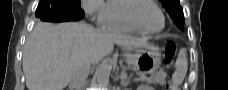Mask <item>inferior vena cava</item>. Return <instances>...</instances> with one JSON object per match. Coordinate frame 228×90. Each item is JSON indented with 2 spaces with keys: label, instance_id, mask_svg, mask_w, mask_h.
<instances>
[{
  "label": "inferior vena cava",
  "instance_id": "602c4592",
  "mask_svg": "<svg viewBox=\"0 0 228 90\" xmlns=\"http://www.w3.org/2000/svg\"><path fill=\"white\" fill-rule=\"evenodd\" d=\"M101 31V30H100ZM90 62L83 61L81 62L73 72L71 78V87L75 90H83L86 84V78L90 72Z\"/></svg>",
  "mask_w": 228,
  "mask_h": 90
}]
</instances>
